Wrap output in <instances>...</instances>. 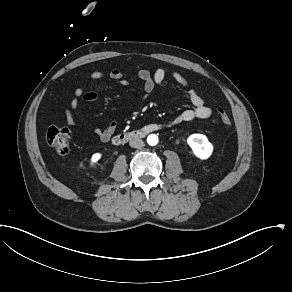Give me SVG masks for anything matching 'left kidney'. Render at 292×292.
Masks as SVG:
<instances>
[{
	"label": "left kidney",
	"instance_id": "obj_1",
	"mask_svg": "<svg viewBox=\"0 0 292 292\" xmlns=\"http://www.w3.org/2000/svg\"><path fill=\"white\" fill-rule=\"evenodd\" d=\"M187 142L194 154L200 159H207L212 154L213 146L203 134H192L187 139Z\"/></svg>",
	"mask_w": 292,
	"mask_h": 292
}]
</instances>
